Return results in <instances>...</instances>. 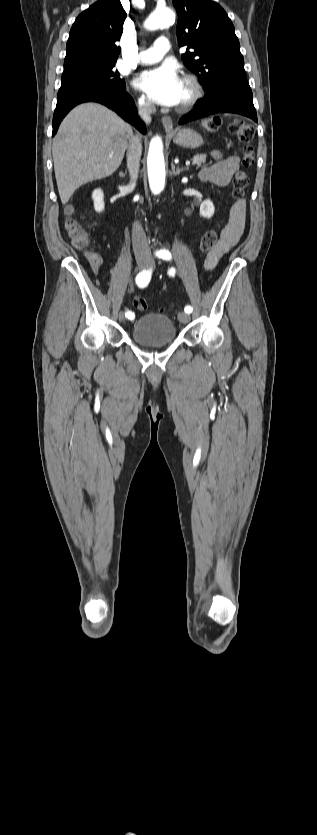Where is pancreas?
<instances>
[{
	"label": "pancreas",
	"instance_id": "cf45deb5",
	"mask_svg": "<svg viewBox=\"0 0 317 835\" xmlns=\"http://www.w3.org/2000/svg\"><path fill=\"white\" fill-rule=\"evenodd\" d=\"M193 161H195V164H197L198 166H201L206 161V155L196 154L193 157Z\"/></svg>",
	"mask_w": 317,
	"mask_h": 835
}]
</instances>
